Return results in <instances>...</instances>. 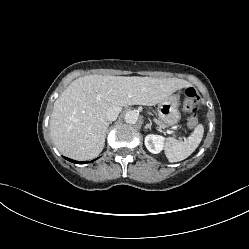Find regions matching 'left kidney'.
I'll return each instance as SVG.
<instances>
[{
    "mask_svg": "<svg viewBox=\"0 0 249 249\" xmlns=\"http://www.w3.org/2000/svg\"><path fill=\"white\" fill-rule=\"evenodd\" d=\"M165 138L160 135L148 134L145 137V146L153 154H159L164 149Z\"/></svg>",
    "mask_w": 249,
    "mask_h": 249,
    "instance_id": "left-kidney-1",
    "label": "left kidney"
}]
</instances>
